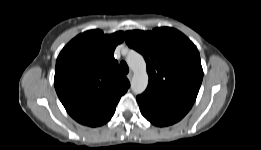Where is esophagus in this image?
I'll use <instances>...</instances> for the list:
<instances>
[{"label":"esophagus","instance_id":"obj_1","mask_svg":"<svg viewBox=\"0 0 261 150\" xmlns=\"http://www.w3.org/2000/svg\"><path fill=\"white\" fill-rule=\"evenodd\" d=\"M132 77H133V72H129L128 75H127V78H128L129 80H131Z\"/></svg>","mask_w":261,"mask_h":150}]
</instances>
